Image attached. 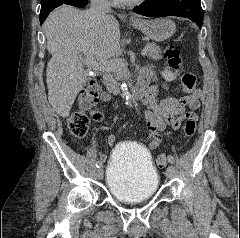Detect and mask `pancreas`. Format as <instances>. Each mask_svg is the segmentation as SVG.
I'll return each instance as SVG.
<instances>
[{"label": "pancreas", "instance_id": "1", "mask_svg": "<svg viewBox=\"0 0 240 238\" xmlns=\"http://www.w3.org/2000/svg\"><path fill=\"white\" fill-rule=\"evenodd\" d=\"M148 46L150 47V50L147 53V56L151 59H161L162 58V51L161 48L154 44V43H150L148 44ZM115 60H118V64L115 66L114 69L109 70L110 74H112L115 79H119L120 77H122L123 75H126L128 72L127 69V65L125 63V60L122 58H117Z\"/></svg>", "mask_w": 240, "mask_h": 238}]
</instances>
